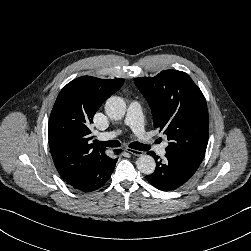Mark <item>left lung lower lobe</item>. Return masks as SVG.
<instances>
[{
	"instance_id": "0a47b994",
	"label": "left lung lower lobe",
	"mask_w": 251,
	"mask_h": 251,
	"mask_svg": "<svg viewBox=\"0 0 251 251\" xmlns=\"http://www.w3.org/2000/svg\"><path fill=\"white\" fill-rule=\"evenodd\" d=\"M156 160V169L145 178L162 191L175 190L184 185L196 172L199 164L179 155L166 153L165 159L158 160L154 152H148Z\"/></svg>"
}]
</instances>
